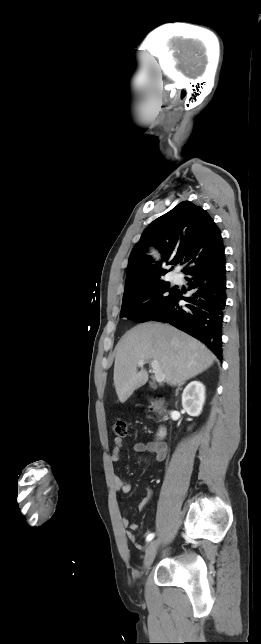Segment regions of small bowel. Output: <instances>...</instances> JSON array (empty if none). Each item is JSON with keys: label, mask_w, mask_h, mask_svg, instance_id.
I'll return each instance as SVG.
<instances>
[{"label": "small bowel", "mask_w": 261, "mask_h": 644, "mask_svg": "<svg viewBox=\"0 0 261 644\" xmlns=\"http://www.w3.org/2000/svg\"><path fill=\"white\" fill-rule=\"evenodd\" d=\"M123 446V441L121 438L116 437L114 439V447L112 449V452L110 454V459L112 462H117L120 460V455H121V448ZM133 451L135 453H148V454H153L155 456V459L159 462L163 461L166 458L167 455V447L163 443L159 442H148V443H143V442H137L133 445ZM113 483L115 486V489L118 492L128 494L132 490V486L129 482L123 480L119 475L115 474L113 476ZM153 496V492L150 488L147 489V495L141 500V502L138 505V509L140 511L144 510L148 504L151 502ZM121 524L122 526L126 529L125 531V537L127 540L133 542L136 546V548L141 549L142 546L136 542V538L134 535V531L138 530V525L136 523H131L130 520L127 517H122L121 518ZM151 533H146V538L147 536Z\"/></svg>", "instance_id": "obj_1"}]
</instances>
